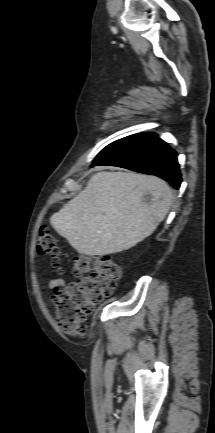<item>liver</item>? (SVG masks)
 <instances>
[{
    "instance_id": "obj_1",
    "label": "liver",
    "mask_w": 215,
    "mask_h": 433,
    "mask_svg": "<svg viewBox=\"0 0 215 433\" xmlns=\"http://www.w3.org/2000/svg\"><path fill=\"white\" fill-rule=\"evenodd\" d=\"M151 200L144 201V194ZM173 201L167 183L131 172H99L50 218L80 254L103 256L134 247L164 220Z\"/></svg>"
}]
</instances>
